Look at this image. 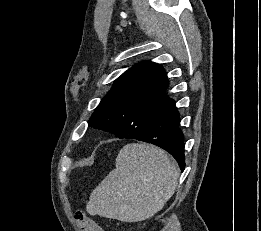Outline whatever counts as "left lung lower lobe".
Here are the masks:
<instances>
[{
    "label": "left lung lower lobe",
    "instance_id": "1",
    "mask_svg": "<svg viewBox=\"0 0 261 231\" xmlns=\"http://www.w3.org/2000/svg\"><path fill=\"white\" fill-rule=\"evenodd\" d=\"M179 113L172 102L152 120L145 132L139 136L128 137L159 146L169 152L178 162L180 169L185 167L184 138L179 128ZM127 138V137H123Z\"/></svg>",
    "mask_w": 261,
    "mask_h": 231
}]
</instances>
